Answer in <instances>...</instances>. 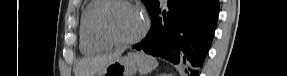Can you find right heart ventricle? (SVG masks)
Returning <instances> with one entry per match:
<instances>
[{"instance_id": "e07e8e85", "label": "right heart ventricle", "mask_w": 287, "mask_h": 76, "mask_svg": "<svg viewBox=\"0 0 287 76\" xmlns=\"http://www.w3.org/2000/svg\"><path fill=\"white\" fill-rule=\"evenodd\" d=\"M106 0H91L84 7L80 18V50L86 54L99 53L107 46L100 42L93 30V20Z\"/></svg>"}]
</instances>
